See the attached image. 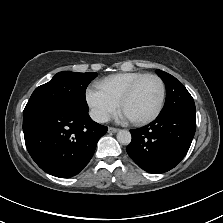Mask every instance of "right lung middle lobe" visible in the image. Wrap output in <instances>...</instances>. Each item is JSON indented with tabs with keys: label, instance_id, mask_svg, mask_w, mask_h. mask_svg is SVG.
<instances>
[{
	"label": "right lung middle lobe",
	"instance_id": "obj_1",
	"mask_svg": "<svg viewBox=\"0 0 223 223\" xmlns=\"http://www.w3.org/2000/svg\"><path fill=\"white\" fill-rule=\"evenodd\" d=\"M95 72H59L32 93L23 115L41 110L63 109L88 113L85 91Z\"/></svg>",
	"mask_w": 223,
	"mask_h": 223
}]
</instances>
